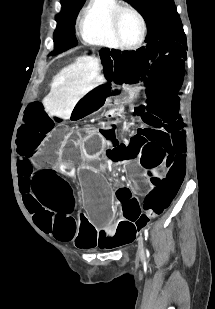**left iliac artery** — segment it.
Returning a JSON list of instances; mask_svg holds the SVG:
<instances>
[{
    "label": "left iliac artery",
    "mask_w": 215,
    "mask_h": 309,
    "mask_svg": "<svg viewBox=\"0 0 215 309\" xmlns=\"http://www.w3.org/2000/svg\"><path fill=\"white\" fill-rule=\"evenodd\" d=\"M144 234H145V240H147V238H148V230L146 228L144 229ZM146 252H148V251L146 250Z\"/></svg>",
    "instance_id": "44dca946"
}]
</instances>
